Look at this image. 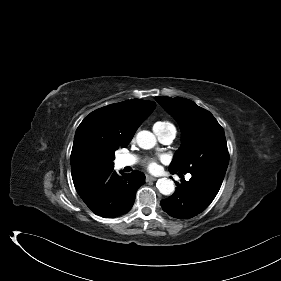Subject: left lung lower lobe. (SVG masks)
Returning <instances> with one entry per match:
<instances>
[{"instance_id":"1","label":"left lung lower lobe","mask_w":281,"mask_h":281,"mask_svg":"<svg viewBox=\"0 0 281 281\" xmlns=\"http://www.w3.org/2000/svg\"><path fill=\"white\" fill-rule=\"evenodd\" d=\"M191 175L189 181L183 179L181 184L176 182L175 193L161 201L163 210L174 218L190 219L204 211L217 195L225 173L206 171Z\"/></svg>"}]
</instances>
